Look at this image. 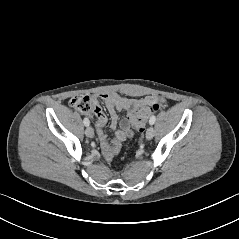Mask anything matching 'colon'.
Listing matches in <instances>:
<instances>
[{"mask_svg": "<svg viewBox=\"0 0 239 239\" xmlns=\"http://www.w3.org/2000/svg\"><path fill=\"white\" fill-rule=\"evenodd\" d=\"M70 105L82 113H89L94 108L91 98L85 95H78L73 97L70 100ZM159 109L160 104L158 102H153L151 104L141 106L133 117V123L137 130L142 131L150 113L155 112Z\"/></svg>", "mask_w": 239, "mask_h": 239, "instance_id": "obj_1", "label": "colon"}]
</instances>
